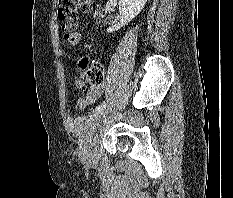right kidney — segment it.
I'll return each instance as SVG.
<instances>
[{
    "mask_svg": "<svg viewBox=\"0 0 233 198\" xmlns=\"http://www.w3.org/2000/svg\"><path fill=\"white\" fill-rule=\"evenodd\" d=\"M147 0H119L120 21L107 29L108 33L118 31L134 19L144 8Z\"/></svg>",
    "mask_w": 233,
    "mask_h": 198,
    "instance_id": "ca27d5eb",
    "label": "right kidney"
}]
</instances>
